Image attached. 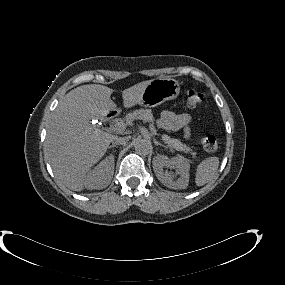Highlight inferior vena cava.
Returning a JSON list of instances; mask_svg holds the SVG:
<instances>
[{
    "label": "inferior vena cava",
    "instance_id": "inferior-vena-cava-1",
    "mask_svg": "<svg viewBox=\"0 0 285 285\" xmlns=\"http://www.w3.org/2000/svg\"><path fill=\"white\" fill-rule=\"evenodd\" d=\"M128 141V138L127 137H116L114 140H113V145H123L125 144L126 142Z\"/></svg>",
    "mask_w": 285,
    "mask_h": 285
}]
</instances>
